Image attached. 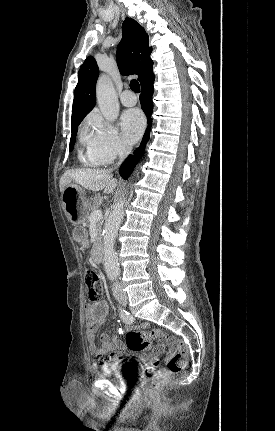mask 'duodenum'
I'll return each mask as SVG.
<instances>
[{"mask_svg":"<svg viewBox=\"0 0 275 431\" xmlns=\"http://www.w3.org/2000/svg\"><path fill=\"white\" fill-rule=\"evenodd\" d=\"M92 258L97 264L102 263L104 258L103 244L101 240H97L92 248Z\"/></svg>","mask_w":275,"mask_h":431,"instance_id":"duodenum-1","label":"duodenum"}]
</instances>
